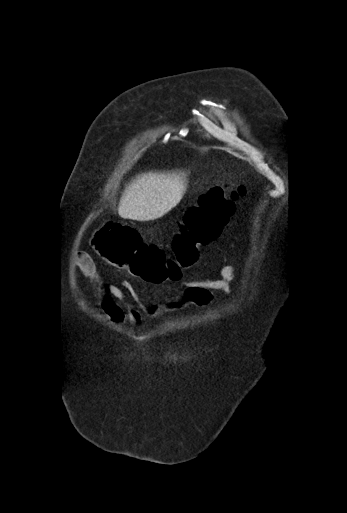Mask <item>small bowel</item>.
Returning a JSON list of instances; mask_svg holds the SVG:
<instances>
[{
  "label": "small bowel",
  "mask_w": 347,
  "mask_h": 513,
  "mask_svg": "<svg viewBox=\"0 0 347 513\" xmlns=\"http://www.w3.org/2000/svg\"><path fill=\"white\" fill-rule=\"evenodd\" d=\"M75 265L82 275L95 283L103 315L115 323H124L127 320L132 325H140L145 318H155L167 310L182 306L209 307L214 302L215 291L226 294L234 292L232 283L236 276L235 267L231 265L221 266L215 278L201 277L184 281L181 296L170 301L166 306L157 304L136 308L127 301L126 294L122 289L101 280L94 262L86 254H79L76 257ZM179 279L181 280V278ZM122 287L136 303H139V298L131 282L124 280Z\"/></svg>",
  "instance_id": "c3829d8e"
}]
</instances>
